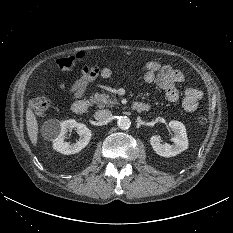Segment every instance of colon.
I'll list each match as a JSON object with an SVG mask.
<instances>
[{"mask_svg": "<svg viewBox=\"0 0 233 233\" xmlns=\"http://www.w3.org/2000/svg\"><path fill=\"white\" fill-rule=\"evenodd\" d=\"M85 62V55L78 53L76 56L60 58L56 61V66L60 70H69L75 65H82ZM51 106V101L48 97H38L30 101L31 109L38 115L45 114ZM200 125H206L208 118L206 116H200L198 118Z\"/></svg>", "mask_w": 233, "mask_h": 233, "instance_id": "5ec220e1", "label": "colon"}]
</instances>
